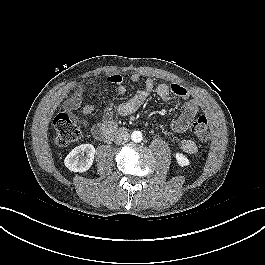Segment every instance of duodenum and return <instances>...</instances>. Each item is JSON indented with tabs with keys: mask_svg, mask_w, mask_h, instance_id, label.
I'll return each instance as SVG.
<instances>
[{
	"mask_svg": "<svg viewBox=\"0 0 265 265\" xmlns=\"http://www.w3.org/2000/svg\"><path fill=\"white\" fill-rule=\"evenodd\" d=\"M123 129H119L118 132H122ZM114 133V132H113ZM112 136V135H111ZM103 138H109L108 136H104Z\"/></svg>",
	"mask_w": 265,
	"mask_h": 265,
	"instance_id": "obj_1",
	"label": "duodenum"
}]
</instances>
